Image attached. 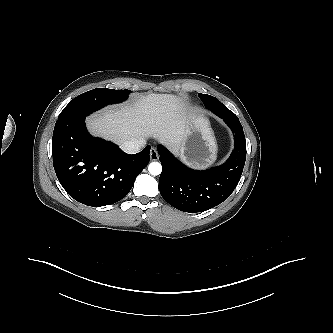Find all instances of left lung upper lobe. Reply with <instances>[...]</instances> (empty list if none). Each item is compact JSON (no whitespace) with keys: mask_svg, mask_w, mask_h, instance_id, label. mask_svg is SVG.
I'll return each mask as SVG.
<instances>
[{"mask_svg":"<svg viewBox=\"0 0 333 333\" xmlns=\"http://www.w3.org/2000/svg\"><path fill=\"white\" fill-rule=\"evenodd\" d=\"M198 96L200 97V99L202 100V102L204 103L203 100H208L211 98H214L213 96L207 95V94H201L199 93ZM205 107L208 108V106L204 103Z\"/></svg>","mask_w":333,"mask_h":333,"instance_id":"obj_1","label":"left lung upper lobe"}]
</instances>
